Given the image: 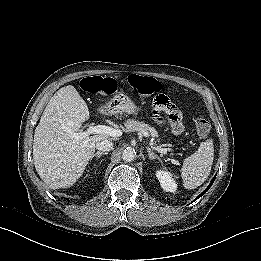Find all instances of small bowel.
Segmentation results:
<instances>
[{"label":"small bowel","instance_id":"c3829d8e","mask_svg":"<svg viewBox=\"0 0 261 261\" xmlns=\"http://www.w3.org/2000/svg\"><path fill=\"white\" fill-rule=\"evenodd\" d=\"M154 114H155V118H156L160 123H162L161 119L159 118L158 113L155 111Z\"/></svg>","mask_w":261,"mask_h":261}]
</instances>
